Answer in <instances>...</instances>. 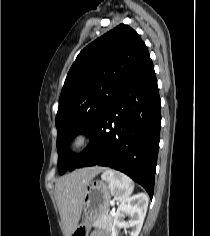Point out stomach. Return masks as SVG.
I'll return each mask as SVG.
<instances>
[{
  "label": "stomach",
  "instance_id": "obj_1",
  "mask_svg": "<svg viewBox=\"0 0 210 236\" xmlns=\"http://www.w3.org/2000/svg\"><path fill=\"white\" fill-rule=\"evenodd\" d=\"M112 192L100 180L91 181L84 192L82 221L71 236H88L94 221L108 210Z\"/></svg>",
  "mask_w": 210,
  "mask_h": 236
}]
</instances>
